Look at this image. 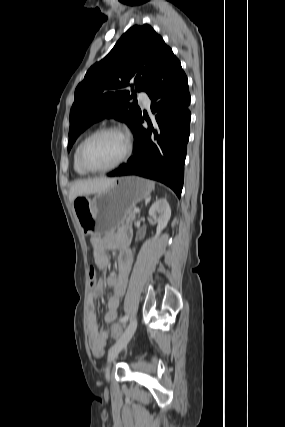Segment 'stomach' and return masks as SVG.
Returning <instances> with one entry per match:
<instances>
[{
	"mask_svg": "<svg viewBox=\"0 0 285 427\" xmlns=\"http://www.w3.org/2000/svg\"><path fill=\"white\" fill-rule=\"evenodd\" d=\"M154 184L144 178L126 176L116 180L93 198L78 196L73 201L74 213L84 232L103 236L126 222V214L138 202L149 198Z\"/></svg>",
	"mask_w": 285,
	"mask_h": 427,
	"instance_id": "obj_1",
	"label": "stomach"
}]
</instances>
